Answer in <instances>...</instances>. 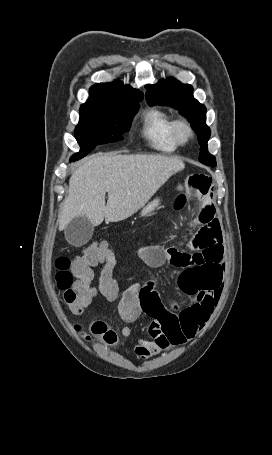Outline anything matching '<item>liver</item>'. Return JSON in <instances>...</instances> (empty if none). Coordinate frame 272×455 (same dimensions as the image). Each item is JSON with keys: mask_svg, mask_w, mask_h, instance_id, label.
I'll return each mask as SVG.
<instances>
[{"mask_svg": "<svg viewBox=\"0 0 272 455\" xmlns=\"http://www.w3.org/2000/svg\"><path fill=\"white\" fill-rule=\"evenodd\" d=\"M184 168L182 160L161 155L107 153L86 159L69 180L68 196L59 214V230L77 216H85L93 226L104 219L107 223L127 219Z\"/></svg>", "mask_w": 272, "mask_h": 455, "instance_id": "liver-1", "label": "liver"}]
</instances>
